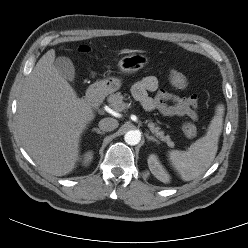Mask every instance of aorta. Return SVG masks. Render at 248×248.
I'll return each mask as SVG.
<instances>
[{
	"instance_id": "obj_1",
	"label": "aorta",
	"mask_w": 248,
	"mask_h": 248,
	"mask_svg": "<svg viewBox=\"0 0 248 248\" xmlns=\"http://www.w3.org/2000/svg\"><path fill=\"white\" fill-rule=\"evenodd\" d=\"M124 140L128 145H137L141 140V134L137 130H130L125 134Z\"/></svg>"
}]
</instances>
